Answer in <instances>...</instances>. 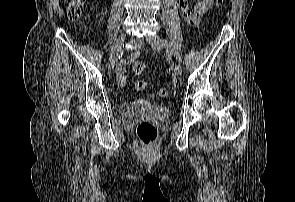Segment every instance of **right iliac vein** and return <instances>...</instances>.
Here are the masks:
<instances>
[{
    "label": "right iliac vein",
    "mask_w": 295,
    "mask_h": 202,
    "mask_svg": "<svg viewBox=\"0 0 295 202\" xmlns=\"http://www.w3.org/2000/svg\"><path fill=\"white\" fill-rule=\"evenodd\" d=\"M125 40H126V34H121L116 40V42L114 43V45L112 46L111 54L109 58V67L111 69L114 68L115 60L118 54L121 52V48Z\"/></svg>",
    "instance_id": "1"
}]
</instances>
